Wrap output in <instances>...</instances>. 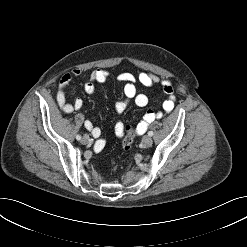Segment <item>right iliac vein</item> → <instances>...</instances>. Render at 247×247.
Instances as JSON below:
<instances>
[{
    "instance_id": "1",
    "label": "right iliac vein",
    "mask_w": 247,
    "mask_h": 247,
    "mask_svg": "<svg viewBox=\"0 0 247 247\" xmlns=\"http://www.w3.org/2000/svg\"><path fill=\"white\" fill-rule=\"evenodd\" d=\"M82 144H88L90 142V138L88 135H84L81 140Z\"/></svg>"
}]
</instances>
